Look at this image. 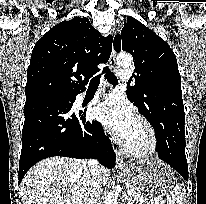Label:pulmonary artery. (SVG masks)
<instances>
[{
    "label": "pulmonary artery",
    "mask_w": 206,
    "mask_h": 204,
    "mask_svg": "<svg viewBox=\"0 0 206 204\" xmlns=\"http://www.w3.org/2000/svg\"><path fill=\"white\" fill-rule=\"evenodd\" d=\"M121 79H127L130 75V71L129 70H124V71H121L119 73Z\"/></svg>",
    "instance_id": "1"
}]
</instances>
